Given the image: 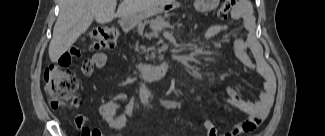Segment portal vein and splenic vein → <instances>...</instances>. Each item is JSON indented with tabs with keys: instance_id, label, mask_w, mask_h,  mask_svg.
Masks as SVG:
<instances>
[{
	"instance_id": "portal-vein-and-splenic-vein-1",
	"label": "portal vein and splenic vein",
	"mask_w": 325,
	"mask_h": 136,
	"mask_svg": "<svg viewBox=\"0 0 325 136\" xmlns=\"http://www.w3.org/2000/svg\"><path fill=\"white\" fill-rule=\"evenodd\" d=\"M159 26H167V23L163 20H160L158 23H157Z\"/></svg>"
}]
</instances>
